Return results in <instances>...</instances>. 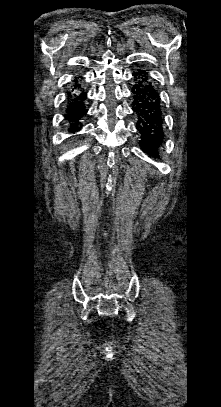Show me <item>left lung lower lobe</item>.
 Masks as SVG:
<instances>
[{"mask_svg":"<svg viewBox=\"0 0 221 407\" xmlns=\"http://www.w3.org/2000/svg\"><path fill=\"white\" fill-rule=\"evenodd\" d=\"M133 77L132 110L138 119L136 128L141 134L140 146L143 151L158 157L157 149L164 138V118L159 91L147 71L137 70Z\"/></svg>","mask_w":221,"mask_h":407,"instance_id":"left-lung-lower-lobe-1","label":"left lung lower lobe"}]
</instances>
